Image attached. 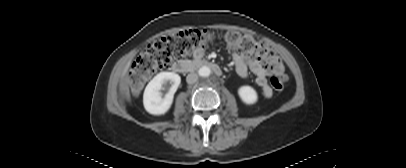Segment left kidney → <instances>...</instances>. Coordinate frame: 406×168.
I'll return each instance as SVG.
<instances>
[{
    "label": "left kidney",
    "mask_w": 406,
    "mask_h": 168,
    "mask_svg": "<svg viewBox=\"0 0 406 168\" xmlns=\"http://www.w3.org/2000/svg\"><path fill=\"white\" fill-rule=\"evenodd\" d=\"M238 95L241 100L248 105L254 104L258 100L257 92L251 86H241L238 89Z\"/></svg>",
    "instance_id": "1"
}]
</instances>
